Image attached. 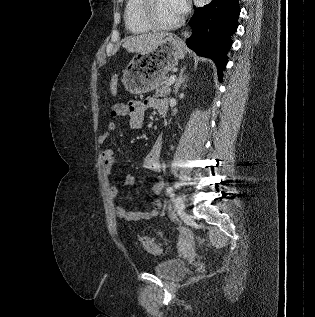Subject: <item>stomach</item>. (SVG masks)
<instances>
[{
	"label": "stomach",
	"instance_id": "0dacf381",
	"mask_svg": "<svg viewBox=\"0 0 315 317\" xmlns=\"http://www.w3.org/2000/svg\"><path fill=\"white\" fill-rule=\"evenodd\" d=\"M184 55L183 42L172 35L162 39L150 52L136 54L123 72L126 91L143 94L156 89Z\"/></svg>",
	"mask_w": 315,
	"mask_h": 317
}]
</instances>
